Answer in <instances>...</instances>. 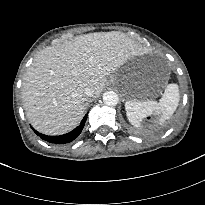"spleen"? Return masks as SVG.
Listing matches in <instances>:
<instances>
[{
	"label": "spleen",
	"mask_w": 205,
	"mask_h": 205,
	"mask_svg": "<svg viewBox=\"0 0 205 205\" xmlns=\"http://www.w3.org/2000/svg\"><path fill=\"white\" fill-rule=\"evenodd\" d=\"M179 97L178 85L168 84L159 102L127 101L125 103L127 118L132 125L137 127L140 126L143 118L152 114H160V121L163 122L175 112L179 104Z\"/></svg>",
	"instance_id": "3e777b00"
}]
</instances>
